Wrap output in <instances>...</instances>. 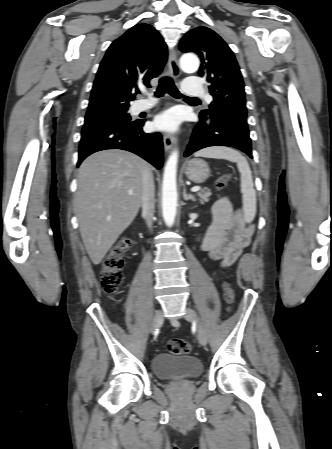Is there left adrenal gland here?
Returning a JSON list of instances; mask_svg holds the SVG:
<instances>
[{
    "mask_svg": "<svg viewBox=\"0 0 332 449\" xmlns=\"http://www.w3.org/2000/svg\"><path fill=\"white\" fill-rule=\"evenodd\" d=\"M183 198H184V200L196 201L195 197L192 194H187L185 186L183 188Z\"/></svg>",
    "mask_w": 332,
    "mask_h": 449,
    "instance_id": "a2214340",
    "label": "left adrenal gland"
}]
</instances>
